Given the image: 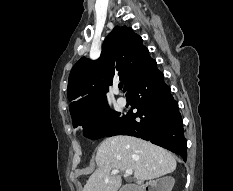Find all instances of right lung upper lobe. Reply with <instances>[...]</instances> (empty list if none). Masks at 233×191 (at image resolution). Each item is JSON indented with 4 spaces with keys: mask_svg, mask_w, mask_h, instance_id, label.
<instances>
[{
    "mask_svg": "<svg viewBox=\"0 0 233 191\" xmlns=\"http://www.w3.org/2000/svg\"><path fill=\"white\" fill-rule=\"evenodd\" d=\"M142 38L130 27L116 26L106 38L100 58L94 62L81 58L72 68L67 96L74 117L106 103L105 93L119 78L128 90L149 59Z\"/></svg>",
    "mask_w": 233,
    "mask_h": 191,
    "instance_id": "right-lung-upper-lobe-1",
    "label": "right lung upper lobe"
}]
</instances>
